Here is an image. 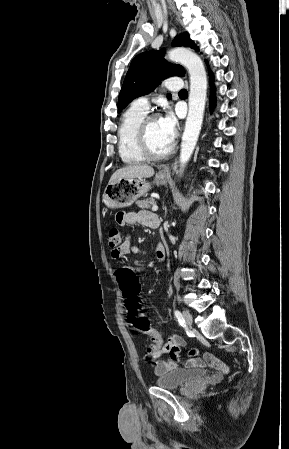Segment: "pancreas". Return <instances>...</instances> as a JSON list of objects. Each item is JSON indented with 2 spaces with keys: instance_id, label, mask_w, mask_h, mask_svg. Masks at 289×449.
Wrapping results in <instances>:
<instances>
[{
  "instance_id": "obj_1",
  "label": "pancreas",
  "mask_w": 289,
  "mask_h": 449,
  "mask_svg": "<svg viewBox=\"0 0 289 449\" xmlns=\"http://www.w3.org/2000/svg\"><path fill=\"white\" fill-rule=\"evenodd\" d=\"M139 208L150 209L151 206L155 205V200L153 198H147L144 200L137 201L136 203Z\"/></svg>"
}]
</instances>
